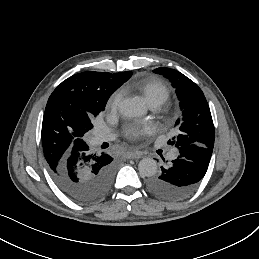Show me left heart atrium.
<instances>
[{"mask_svg":"<svg viewBox=\"0 0 259 259\" xmlns=\"http://www.w3.org/2000/svg\"><path fill=\"white\" fill-rule=\"evenodd\" d=\"M155 130L151 124H133L129 125L124 129L126 138L138 141L141 140L147 134L153 133Z\"/></svg>","mask_w":259,"mask_h":259,"instance_id":"left-heart-atrium-1","label":"left heart atrium"}]
</instances>
